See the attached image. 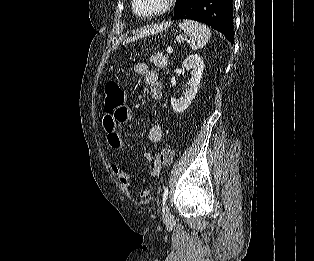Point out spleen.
<instances>
[{"label":"spleen","mask_w":314,"mask_h":261,"mask_svg":"<svg viewBox=\"0 0 314 261\" xmlns=\"http://www.w3.org/2000/svg\"><path fill=\"white\" fill-rule=\"evenodd\" d=\"M186 35L190 38L192 50H198L206 45L211 37V30L203 23L192 20H184L179 24Z\"/></svg>","instance_id":"3e777b00"}]
</instances>
